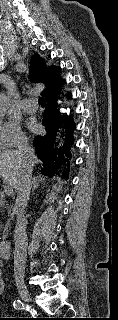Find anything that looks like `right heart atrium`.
<instances>
[{
	"mask_svg": "<svg viewBox=\"0 0 118 320\" xmlns=\"http://www.w3.org/2000/svg\"><path fill=\"white\" fill-rule=\"evenodd\" d=\"M25 142L26 136L16 123L0 119V150L9 149Z\"/></svg>",
	"mask_w": 118,
	"mask_h": 320,
	"instance_id": "right-heart-atrium-1",
	"label": "right heart atrium"
}]
</instances>
